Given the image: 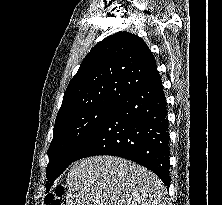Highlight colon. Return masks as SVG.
<instances>
[{
    "mask_svg": "<svg viewBox=\"0 0 222 205\" xmlns=\"http://www.w3.org/2000/svg\"><path fill=\"white\" fill-rule=\"evenodd\" d=\"M64 188L57 186L46 196V205H63Z\"/></svg>",
    "mask_w": 222,
    "mask_h": 205,
    "instance_id": "colon-1",
    "label": "colon"
}]
</instances>
